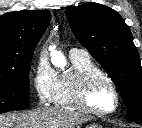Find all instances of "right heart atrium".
Here are the masks:
<instances>
[{
  "instance_id": "right-heart-atrium-1",
  "label": "right heart atrium",
  "mask_w": 142,
  "mask_h": 128,
  "mask_svg": "<svg viewBox=\"0 0 142 128\" xmlns=\"http://www.w3.org/2000/svg\"><path fill=\"white\" fill-rule=\"evenodd\" d=\"M30 79L38 101L41 104L50 102L54 92L56 72L45 55L40 54L36 58L32 66Z\"/></svg>"
}]
</instances>
